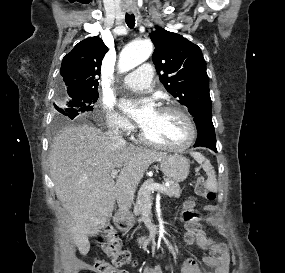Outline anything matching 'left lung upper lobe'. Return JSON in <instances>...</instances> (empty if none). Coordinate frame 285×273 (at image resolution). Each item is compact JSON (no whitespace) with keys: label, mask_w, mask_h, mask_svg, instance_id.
Here are the masks:
<instances>
[{"label":"left lung upper lobe","mask_w":285,"mask_h":273,"mask_svg":"<svg viewBox=\"0 0 285 273\" xmlns=\"http://www.w3.org/2000/svg\"><path fill=\"white\" fill-rule=\"evenodd\" d=\"M151 39L155 46L153 63L166 90L195 120L212 115L209 78L200 48L160 27L151 33Z\"/></svg>","instance_id":"left-lung-upper-lobe-1"}]
</instances>
